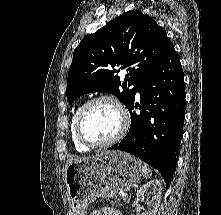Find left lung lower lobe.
<instances>
[{
  "instance_id": "0a47b994",
  "label": "left lung lower lobe",
  "mask_w": 221,
  "mask_h": 215,
  "mask_svg": "<svg viewBox=\"0 0 221 215\" xmlns=\"http://www.w3.org/2000/svg\"><path fill=\"white\" fill-rule=\"evenodd\" d=\"M137 92L140 104L134 99L128 108L130 130L109 149L131 153L156 168L169 187L177 164L186 96L182 66L173 44L142 80ZM137 108L140 114L134 111Z\"/></svg>"
}]
</instances>
